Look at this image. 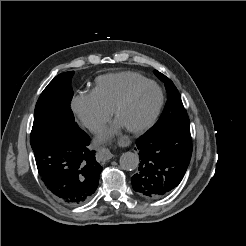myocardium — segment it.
Returning <instances> with one entry per match:
<instances>
[{
  "instance_id": "f54148a6",
  "label": "myocardium",
  "mask_w": 246,
  "mask_h": 246,
  "mask_svg": "<svg viewBox=\"0 0 246 246\" xmlns=\"http://www.w3.org/2000/svg\"><path fill=\"white\" fill-rule=\"evenodd\" d=\"M147 86H152L157 90L158 100L151 116L143 124L135 127H125L126 130L132 134H141L146 132L157 121L164 104V92L160 85L153 80H146L144 82L134 85L120 98V100L116 103L112 110L113 116L115 117V119H118L120 112L130 102L134 95Z\"/></svg>"
}]
</instances>
